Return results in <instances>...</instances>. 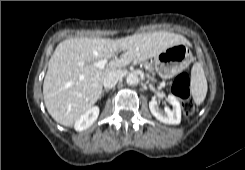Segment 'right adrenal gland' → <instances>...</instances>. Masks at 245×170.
<instances>
[{
	"instance_id": "obj_1",
	"label": "right adrenal gland",
	"mask_w": 245,
	"mask_h": 170,
	"mask_svg": "<svg viewBox=\"0 0 245 170\" xmlns=\"http://www.w3.org/2000/svg\"><path fill=\"white\" fill-rule=\"evenodd\" d=\"M104 92H109V89H105L102 91V95L104 94Z\"/></svg>"
}]
</instances>
